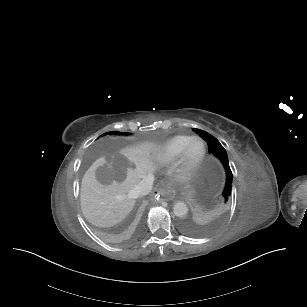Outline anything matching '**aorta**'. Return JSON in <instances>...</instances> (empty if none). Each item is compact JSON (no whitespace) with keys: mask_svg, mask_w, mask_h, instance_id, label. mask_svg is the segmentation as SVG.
Instances as JSON below:
<instances>
[{"mask_svg":"<svg viewBox=\"0 0 307 307\" xmlns=\"http://www.w3.org/2000/svg\"><path fill=\"white\" fill-rule=\"evenodd\" d=\"M173 212L177 217H185L188 213V207L183 202H177L173 207Z\"/></svg>","mask_w":307,"mask_h":307,"instance_id":"obj_1","label":"aorta"}]
</instances>
